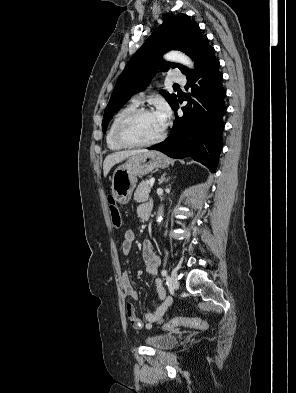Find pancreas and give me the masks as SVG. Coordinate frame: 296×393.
<instances>
[{
    "label": "pancreas",
    "mask_w": 296,
    "mask_h": 393,
    "mask_svg": "<svg viewBox=\"0 0 296 393\" xmlns=\"http://www.w3.org/2000/svg\"><path fill=\"white\" fill-rule=\"evenodd\" d=\"M150 190L149 181H142L134 193V200L138 203L147 201Z\"/></svg>",
    "instance_id": "1"
}]
</instances>
